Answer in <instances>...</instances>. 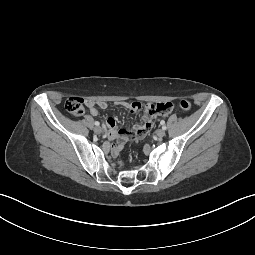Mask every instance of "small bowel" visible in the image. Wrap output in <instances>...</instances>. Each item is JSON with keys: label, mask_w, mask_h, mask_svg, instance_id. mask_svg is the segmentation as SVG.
<instances>
[{"label": "small bowel", "mask_w": 255, "mask_h": 255, "mask_svg": "<svg viewBox=\"0 0 255 255\" xmlns=\"http://www.w3.org/2000/svg\"><path fill=\"white\" fill-rule=\"evenodd\" d=\"M118 105H121L131 112L136 111L141 107L139 102H119ZM106 108L107 103L104 101L94 103L93 101L88 102V107L90 114L96 116L98 114L97 107ZM176 108V103L172 99H167L163 103H149L145 105V120L142 125L137 126L133 130H128L124 128H118L116 119L114 117H109L106 121V136L109 139H116L117 143L113 146L114 153L119 152L124 143L131 139H142L153 127L155 119L161 118L162 115L171 114Z\"/></svg>", "instance_id": "obj_1"}]
</instances>
